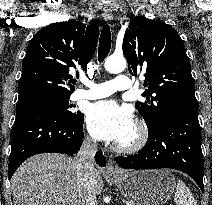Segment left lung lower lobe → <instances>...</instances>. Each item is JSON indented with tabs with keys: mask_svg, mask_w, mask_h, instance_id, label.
I'll use <instances>...</instances> for the list:
<instances>
[{
	"mask_svg": "<svg viewBox=\"0 0 212 205\" xmlns=\"http://www.w3.org/2000/svg\"><path fill=\"white\" fill-rule=\"evenodd\" d=\"M146 145L134 155L120 156L125 169L172 168L187 173L204 190L198 105H183L148 129Z\"/></svg>",
	"mask_w": 212,
	"mask_h": 205,
	"instance_id": "left-lung-lower-lobe-1",
	"label": "left lung lower lobe"
}]
</instances>
